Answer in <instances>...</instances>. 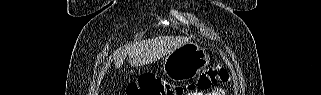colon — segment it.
I'll return each instance as SVG.
<instances>
[{
	"label": "colon",
	"mask_w": 321,
	"mask_h": 95,
	"mask_svg": "<svg viewBox=\"0 0 321 95\" xmlns=\"http://www.w3.org/2000/svg\"><path fill=\"white\" fill-rule=\"evenodd\" d=\"M230 80L228 71L224 68H207L198 77L195 83L185 86L175 85L164 81L159 76L144 75L137 81L130 83L126 89L127 95H183L185 91L196 89L207 90L220 83Z\"/></svg>",
	"instance_id": "obj_1"
}]
</instances>
